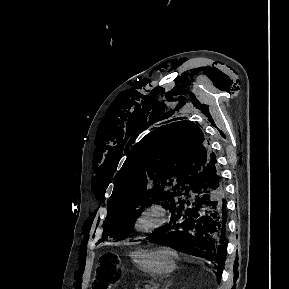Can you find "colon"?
<instances>
[{"label": "colon", "instance_id": "obj_1", "mask_svg": "<svg viewBox=\"0 0 289 289\" xmlns=\"http://www.w3.org/2000/svg\"><path fill=\"white\" fill-rule=\"evenodd\" d=\"M121 268L110 253L102 255L99 261L92 289H112L118 284Z\"/></svg>", "mask_w": 289, "mask_h": 289}]
</instances>
